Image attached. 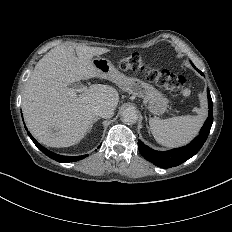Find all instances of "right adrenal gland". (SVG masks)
I'll use <instances>...</instances> for the list:
<instances>
[{
    "label": "right adrenal gland",
    "mask_w": 232,
    "mask_h": 232,
    "mask_svg": "<svg viewBox=\"0 0 232 232\" xmlns=\"http://www.w3.org/2000/svg\"><path fill=\"white\" fill-rule=\"evenodd\" d=\"M93 126H94V123L90 126V128H89L88 132H91V130H92V128H93Z\"/></svg>",
    "instance_id": "right-adrenal-gland-1"
}]
</instances>
